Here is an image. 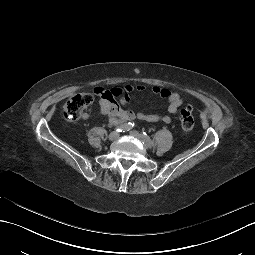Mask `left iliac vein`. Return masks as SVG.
I'll use <instances>...</instances> for the list:
<instances>
[{
    "label": "left iliac vein",
    "mask_w": 255,
    "mask_h": 255,
    "mask_svg": "<svg viewBox=\"0 0 255 255\" xmlns=\"http://www.w3.org/2000/svg\"><path fill=\"white\" fill-rule=\"evenodd\" d=\"M130 135H132L133 137L139 139L140 141H142V142L144 143L143 138H142V135H141L139 132H137V131H135V130H132V131H130ZM144 144H145V143H144ZM145 146H146L147 148H151L152 145H147V144H145Z\"/></svg>",
    "instance_id": "obj_1"
}]
</instances>
